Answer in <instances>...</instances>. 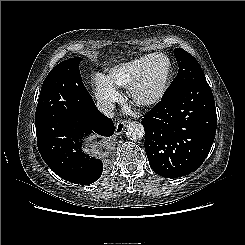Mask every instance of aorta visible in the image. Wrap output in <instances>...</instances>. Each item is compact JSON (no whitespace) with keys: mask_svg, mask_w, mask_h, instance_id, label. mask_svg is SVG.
I'll use <instances>...</instances> for the list:
<instances>
[{"mask_svg":"<svg viewBox=\"0 0 245 245\" xmlns=\"http://www.w3.org/2000/svg\"><path fill=\"white\" fill-rule=\"evenodd\" d=\"M144 127L139 122H130L126 126V135L131 140H138L144 136Z\"/></svg>","mask_w":245,"mask_h":245,"instance_id":"obj_1","label":"aorta"}]
</instances>
